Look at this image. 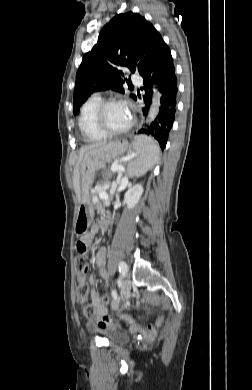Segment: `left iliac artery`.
<instances>
[{"label":"left iliac artery","instance_id":"left-iliac-artery-1","mask_svg":"<svg viewBox=\"0 0 252 390\" xmlns=\"http://www.w3.org/2000/svg\"><path fill=\"white\" fill-rule=\"evenodd\" d=\"M119 272L121 274V278L125 276L127 273V264L123 261L119 262L118 264ZM112 297L114 300H117V294L115 291H112Z\"/></svg>","mask_w":252,"mask_h":390}]
</instances>
